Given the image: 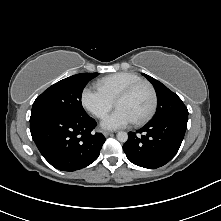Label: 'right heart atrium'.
I'll list each match as a JSON object with an SVG mask.
<instances>
[{
	"label": "right heart atrium",
	"mask_w": 221,
	"mask_h": 221,
	"mask_svg": "<svg viewBox=\"0 0 221 221\" xmlns=\"http://www.w3.org/2000/svg\"><path fill=\"white\" fill-rule=\"evenodd\" d=\"M82 106L96 118L105 117L114 106V101L108 98L98 88L85 87L81 93Z\"/></svg>",
	"instance_id": "1"
}]
</instances>
